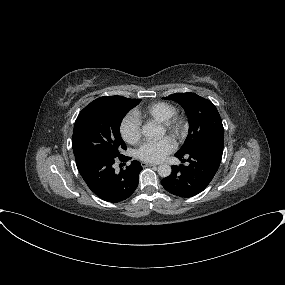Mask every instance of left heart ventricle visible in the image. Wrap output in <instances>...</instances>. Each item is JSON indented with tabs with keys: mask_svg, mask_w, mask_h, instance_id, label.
Instances as JSON below:
<instances>
[{
	"mask_svg": "<svg viewBox=\"0 0 285 285\" xmlns=\"http://www.w3.org/2000/svg\"><path fill=\"white\" fill-rule=\"evenodd\" d=\"M162 132L164 133L165 131H164V128H162Z\"/></svg>",
	"mask_w": 285,
	"mask_h": 285,
	"instance_id": "b2bd125f",
	"label": "left heart ventricle"
}]
</instances>
